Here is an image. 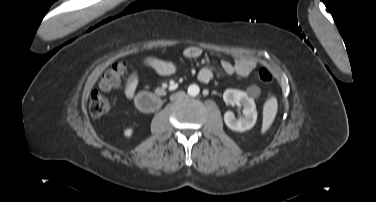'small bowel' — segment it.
Instances as JSON below:
<instances>
[{
	"label": "small bowel",
	"mask_w": 376,
	"mask_h": 202,
	"mask_svg": "<svg viewBox=\"0 0 376 202\" xmlns=\"http://www.w3.org/2000/svg\"><path fill=\"white\" fill-rule=\"evenodd\" d=\"M202 50L197 46H188L183 50V56L187 59H197L201 56ZM143 63L153 69L161 76H171L176 73L177 65L171 61L159 59L154 56L144 58ZM256 66L255 61L241 57L235 63L222 60L219 64L220 70L227 75L247 76ZM197 78L203 83H209L215 78L214 70L209 67L201 68L197 73ZM139 84V74L133 72L125 83V95L132 98L137 91Z\"/></svg>",
	"instance_id": "obj_1"
}]
</instances>
